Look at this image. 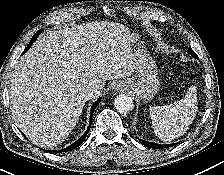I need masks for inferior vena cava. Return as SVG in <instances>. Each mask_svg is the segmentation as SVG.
<instances>
[{
  "instance_id": "obj_1",
  "label": "inferior vena cava",
  "mask_w": 224,
  "mask_h": 175,
  "mask_svg": "<svg viewBox=\"0 0 224 175\" xmlns=\"http://www.w3.org/2000/svg\"><path fill=\"white\" fill-rule=\"evenodd\" d=\"M100 94V91L96 88V87H87L84 92H83V97L86 99V100H89L97 95Z\"/></svg>"
}]
</instances>
